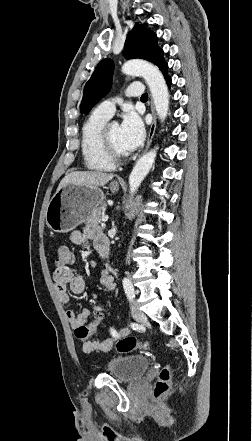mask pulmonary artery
<instances>
[{"mask_svg":"<svg viewBox=\"0 0 252 441\" xmlns=\"http://www.w3.org/2000/svg\"><path fill=\"white\" fill-rule=\"evenodd\" d=\"M143 93L144 87L140 83L131 84L126 90V95L129 97H141ZM116 102L115 99L106 100L96 108V111L110 118L115 112Z\"/></svg>","mask_w":252,"mask_h":441,"instance_id":"e3ab8cb5","label":"pulmonary artery"}]
</instances>
